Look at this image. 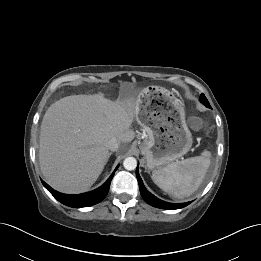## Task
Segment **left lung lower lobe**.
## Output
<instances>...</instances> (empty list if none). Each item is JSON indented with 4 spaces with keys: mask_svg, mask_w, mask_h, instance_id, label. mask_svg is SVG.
Instances as JSON below:
<instances>
[{
    "mask_svg": "<svg viewBox=\"0 0 261 261\" xmlns=\"http://www.w3.org/2000/svg\"><path fill=\"white\" fill-rule=\"evenodd\" d=\"M136 176L138 179V183H139V189L141 192V196L143 197V199L151 206H154L156 208H161V209H167V210H173V209H180L183 208L187 205L190 204V202L187 203H168L165 201H162L160 199H158L157 197H155L153 194H151L145 187L143 184V181L139 175L138 172V167L136 169Z\"/></svg>",
    "mask_w": 261,
    "mask_h": 261,
    "instance_id": "left-lung-lower-lobe-1",
    "label": "left lung lower lobe"
}]
</instances>
